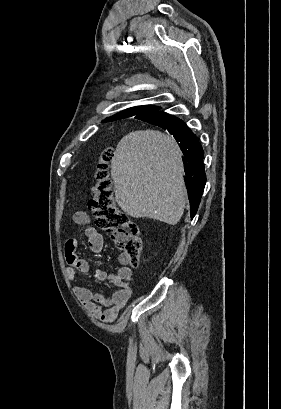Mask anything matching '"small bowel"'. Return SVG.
<instances>
[{
    "instance_id": "small-bowel-1",
    "label": "small bowel",
    "mask_w": 281,
    "mask_h": 409,
    "mask_svg": "<svg viewBox=\"0 0 281 409\" xmlns=\"http://www.w3.org/2000/svg\"><path fill=\"white\" fill-rule=\"evenodd\" d=\"M74 220L77 224L85 226L84 233L90 250L96 254L101 253L103 250V237L91 225L90 218L84 212H77ZM77 247L78 241L76 239H69L65 243V258L68 265L67 276L70 279H74L77 272L88 273L90 271L89 263L76 255ZM94 277L99 282H110L119 289L110 297H106L99 292L77 284L74 287V292L93 317L104 322H112L132 296L133 290L129 281L133 277V269L130 266L123 265L116 272L110 273L99 268L94 270Z\"/></svg>"
}]
</instances>
